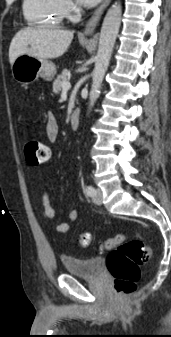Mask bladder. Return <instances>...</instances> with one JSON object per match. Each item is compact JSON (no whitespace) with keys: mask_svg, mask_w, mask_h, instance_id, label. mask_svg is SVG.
Returning a JSON list of instances; mask_svg holds the SVG:
<instances>
[{"mask_svg":"<svg viewBox=\"0 0 171 337\" xmlns=\"http://www.w3.org/2000/svg\"><path fill=\"white\" fill-rule=\"evenodd\" d=\"M62 262L66 273L79 277L95 278L100 275L102 270V260L98 257L64 256Z\"/></svg>","mask_w":171,"mask_h":337,"instance_id":"1","label":"bladder"}]
</instances>
